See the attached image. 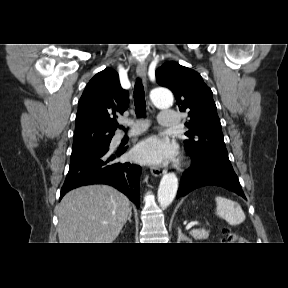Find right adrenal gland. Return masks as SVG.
Listing matches in <instances>:
<instances>
[{
  "mask_svg": "<svg viewBox=\"0 0 288 288\" xmlns=\"http://www.w3.org/2000/svg\"><path fill=\"white\" fill-rule=\"evenodd\" d=\"M132 211L130 210L127 220L131 223Z\"/></svg>",
  "mask_w": 288,
  "mask_h": 288,
  "instance_id": "right-adrenal-gland-1",
  "label": "right adrenal gland"
}]
</instances>
